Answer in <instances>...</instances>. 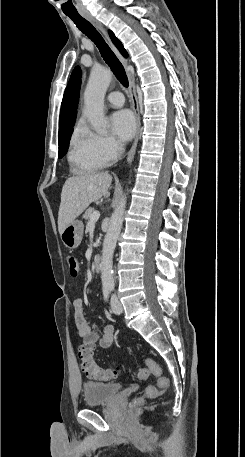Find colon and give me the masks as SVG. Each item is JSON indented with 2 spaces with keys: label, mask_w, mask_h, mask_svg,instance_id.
<instances>
[{
  "label": "colon",
  "mask_w": 245,
  "mask_h": 457,
  "mask_svg": "<svg viewBox=\"0 0 245 457\" xmlns=\"http://www.w3.org/2000/svg\"><path fill=\"white\" fill-rule=\"evenodd\" d=\"M66 262L70 276L77 277L79 275L77 258L73 254H67ZM78 358L82 371L88 377L102 381H111L119 374V371L116 369H106L98 365L95 359L94 345L92 344H82L78 349ZM144 363L145 366L140 367L136 371L137 379L146 381L149 379L150 375L153 374L158 378L157 387H146L143 395L133 401L134 406L141 405L146 399L157 396L160 391H164L169 387L168 378L163 376L161 367L154 360L146 359Z\"/></svg>",
  "instance_id": "colon-1"
}]
</instances>
